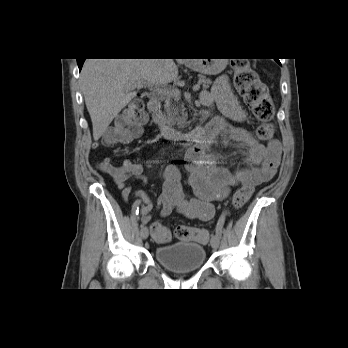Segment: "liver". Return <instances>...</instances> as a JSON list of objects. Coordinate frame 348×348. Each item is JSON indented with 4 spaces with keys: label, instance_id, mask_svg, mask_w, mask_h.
<instances>
[{
    "label": "liver",
    "instance_id": "obj_1",
    "mask_svg": "<svg viewBox=\"0 0 348 348\" xmlns=\"http://www.w3.org/2000/svg\"><path fill=\"white\" fill-rule=\"evenodd\" d=\"M178 77L173 59H87L80 82L97 141L112 120L134 98L132 85L166 86Z\"/></svg>",
    "mask_w": 348,
    "mask_h": 348
}]
</instances>
